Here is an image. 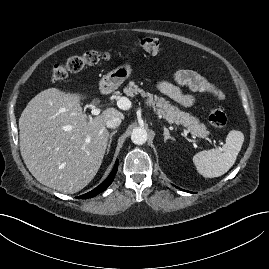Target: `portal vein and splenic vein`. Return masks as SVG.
<instances>
[{"instance_id": "obj_1", "label": "portal vein and splenic vein", "mask_w": 269, "mask_h": 269, "mask_svg": "<svg viewBox=\"0 0 269 269\" xmlns=\"http://www.w3.org/2000/svg\"><path fill=\"white\" fill-rule=\"evenodd\" d=\"M119 105L121 106L120 108L122 109H126V105H121V101H119ZM101 112V109L100 108H97V107H93L92 110H91V114L92 115H99ZM193 138H195V136H193Z\"/></svg>"}]
</instances>
